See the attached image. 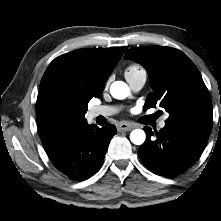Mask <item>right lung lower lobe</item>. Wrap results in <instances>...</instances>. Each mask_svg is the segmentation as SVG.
<instances>
[{
	"mask_svg": "<svg viewBox=\"0 0 221 221\" xmlns=\"http://www.w3.org/2000/svg\"><path fill=\"white\" fill-rule=\"evenodd\" d=\"M78 125L72 135L51 156L56 167L76 179H85L97 172L102 164L111 138L117 133L114 125L99 128Z\"/></svg>",
	"mask_w": 221,
	"mask_h": 221,
	"instance_id": "right-lung-lower-lobe-1",
	"label": "right lung lower lobe"
}]
</instances>
